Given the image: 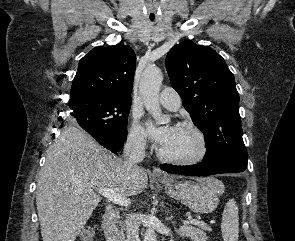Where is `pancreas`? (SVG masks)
Segmentation results:
<instances>
[{
  "label": "pancreas",
  "mask_w": 295,
  "mask_h": 241,
  "mask_svg": "<svg viewBox=\"0 0 295 241\" xmlns=\"http://www.w3.org/2000/svg\"><path fill=\"white\" fill-rule=\"evenodd\" d=\"M199 228L205 231L211 230V228L204 222H200ZM121 232H123V226L121 227Z\"/></svg>",
  "instance_id": "obj_1"
}]
</instances>
